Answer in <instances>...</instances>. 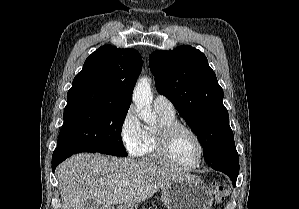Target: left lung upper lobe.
<instances>
[{
  "instance_id": "5c2ea615",
  "label": "left lung upper lobe",
  "mask_w": 299,
  "mask_h": 209,
  "mask_svg": "<svg viewBox=\"0 0 299 209\" xmlns=\"http://www.w3.org/2000/svg\"><path fill=\"white\" fill-rule=\"evenodd\" d=\"M149 66L156 89L173 103L197 135L204 159L210 165L234 143V136L223 105V89L206 56L192 46L183 45L171 51L153 52Z\"/></svg>"
}]
</instances>
